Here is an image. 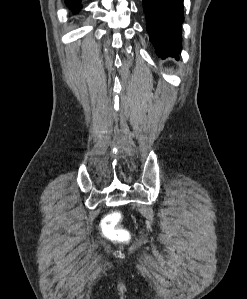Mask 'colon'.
Instances as JSON below:
<instances>
[{"instance_id": "obj_1", "label": "colon", "mask_w": 247, "mask_h": 299, "mask_svg": "<svg viewBox=\"0 0 247 299\" xmlns=\"http://www.w3.org/2000/svg\"><path fill=\"white\" fill-rule=\"evenodd\" d=\"M119 214L114 213L107 216L103 221V231L105 235L115 240H125L128 238V232L118 226Z\"/></svg>"}]
</instances>
